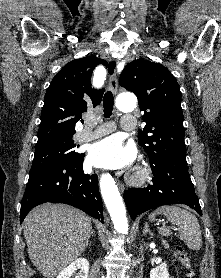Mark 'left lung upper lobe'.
Returning a JSON list of instances; mask_svg holds the SVG:
<instances>
[{
    "instance_id": "1",
    "label": "left lung upper lobe",
    "mask_w": 221,
    "mask_h": 278,
    "mask_svg": "<svg viewBox=\"0 0 221 278\" xmlns=\"http://www.w3.org/2000/svg\"><path fill=\"white\" fill-rule=\"evenodd\" d=\"M120 85L136 94L144 111L139 145L150 159V166L172 156H186L185 130L179 85L170 71L159 63L138 59L122 71Z\"/></svg>"
}]
</instances>
